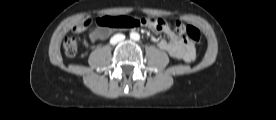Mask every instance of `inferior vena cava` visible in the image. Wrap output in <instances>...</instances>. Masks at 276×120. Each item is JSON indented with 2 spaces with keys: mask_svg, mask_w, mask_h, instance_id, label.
Here are the masks:
<instances>
[{
  "mask_svg": "<svg viewBox=\"0 0 276 120\" xmlns=\"http://www.w3.org/2000/svg\"><path fill=\"white\" fill-rule=\"evenodd\" d=\"M125 39V36L123 34H116L110 39V43L112 45L117 44L120 41H123Z\"/></svg>",
  "mask_w": 276,
  "mask_h": 120,
  "instance_id": "inferior-vena-cava-1",
  "label": "inferior vena cava"
}]
</instances>
